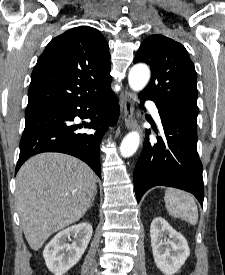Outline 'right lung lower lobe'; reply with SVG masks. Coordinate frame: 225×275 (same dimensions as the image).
<instances>
[{
  "mask_svg": "<svg viewBox=\"0 0 225 275\" xmlns=\"http://www.w3.org/2000/svg\"><path fill=\"white\" fill-rule=\"evenodd\" d=\"M110 87L86 100L63 102L25 113L26 124L20 141L17 172L31 156L41 152H61L86 162L100 177L99 146L105 130L115 123L119 106ZM76 116L90 118V123L75 125ZM93 128L94 134L79 133L82 127Z\"/></svg>",
  "mask_w": 225,
  "mask_h": 275,
  "instance_id": "1",
  "label": "right lung lower lobe"
}]
</instances>
